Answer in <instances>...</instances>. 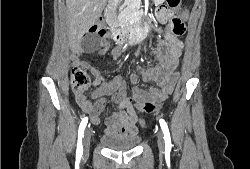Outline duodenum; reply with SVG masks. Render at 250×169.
<instances>
[{
  "label": "duodenum",
  "mask_w": 250,
  "mask_h": 169,
  "mask_svg": "<svg viewBox=\"0 0 250 169\" xmlns=\"http://www.w3.org/2000/svg\"><path fill=\"white\" fill-rule=\"evenodd\" d=\"M110 13H113L109 10ZM111 39L117 43L122 44L129 40L133 41H143L147 37V32L145 26L139 25L135 22L129 32L126 31H112L110 32ZM106 125V124H105Z\"/></svg>",
  "instance_id": "obj_1"
}]
</instances>
